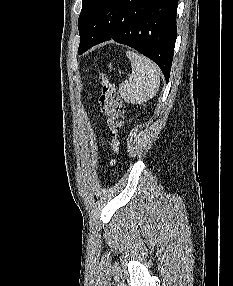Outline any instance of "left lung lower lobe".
<instances>
[{
    "label": "left lung lower lobe",
    "mask_w": 233,
    "mask_h": 286,
    "mask_svg": "<svg viewBox=\"0 0 233 286\" xmlns=\"http://www.w3.org/2000/svg\"><path fill=\"white\" fill-rule=\"evenodd\" d=\"M178 0H96L80 33L79 54L113 39L152 59L169 80Z\"/></svg>",
    "instance_id": "1"
}]
</instances>
